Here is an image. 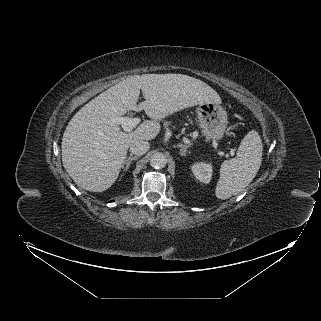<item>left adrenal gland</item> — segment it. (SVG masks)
<instances>
[{
    "mask_svg": "<svg viewBox=\"0 0 321 321\" xmlns=\"http://www.w3.org/2000/svg\"><path fill=\"white\" fill-rule=\"evenodd\" d=\"M177 147L180 149V155L181 156H185L186 152H187V148L190 147V145L187 144H177Z\"/></svg>",
    "mask_w": 321,
    "mask_h": 321,
    "instance_id": "left-adrenal-gland-1",
    "label": "left adrenal gland"
}]
</instances>
